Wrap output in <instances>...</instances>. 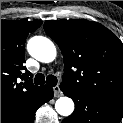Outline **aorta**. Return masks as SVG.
Returning a JSON list of instances; mask_svg holds the SVG:
<instances>
[{"instance_id":"762f6f07","label":"aorta","mask_w":123,"mask_h":123,"mask_svg":"<svg viewBox=\"0 0 123 123\" xmlns=\"http://www.w3.org/2000/svg\"><path fill=\"white\" fill-rule=\"evenodd\" d=\"M29 54L43 63L52 62L57 54L54 43L43 36H34L27 43ZM55 109L62 116H70L74 111V102L69 97H61L55 103Z\"/></svg>"}]
</instances>
